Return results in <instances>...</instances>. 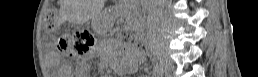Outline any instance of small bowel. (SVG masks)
<instances>
[{"label":"small bowel","mask_w":258,"mask_h":77,"mask_svg":"<svg viewBox=\"0 0 258 77\" xmlns=\"http://www.w3.org/2000/svg\"><path fill=\"white\" fill-rule=\"evenodd\" d=\"M56 53H52L54 57ZM126 61L122 64L125 71H133L143 61L144 55L141 52H127L125 53Z\"/></svg>","instance_id":"1"}]
</instances>
